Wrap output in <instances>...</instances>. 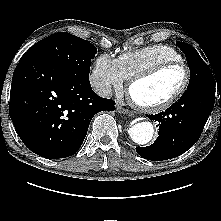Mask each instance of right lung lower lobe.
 Returning <instances> with one entry per match:
<instances>
[{"label":"right lung lower lobe","instance_id":"98d812e1","mask_svg":"<svg viewBox=\"0 0 221 221\" xmlns=\"http://www.w3.org/2000/svg\"><path fill=\"white\" fill-rule=\"evenodd\" d=\"M115 102L98 96L88 78L34 55H23L12 78L9 114L17 134L35 154L73 155L93 116L114 111Z\"/></svg>","mask_w":221,"mask_h":221}]
</instances>
